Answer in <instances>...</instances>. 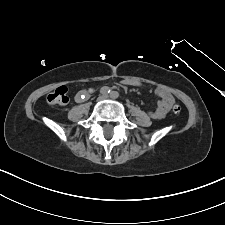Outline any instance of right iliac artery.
I'll use <instances>...</instances> for the list:
<instances>
[{
	"label": "right iliac artery",
	"instance_id": "right-iliac-artery-1",
	"mask_svg": "<svg viewBox=\"0 0 225 225\" xmlns=\"http://www.w3.org/2000/svg\"><path fill=\"white\" fill-rule=\"evenodd\" d=\"M111 92V89L109 87H102L101 90H100V93L103 94V95H107Z\"/></svg>",
	"mask_w": 225,
	"mask_h": 225
}]
</instances>
